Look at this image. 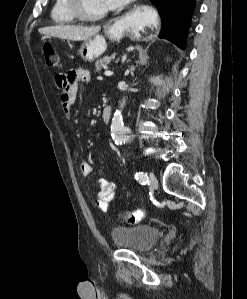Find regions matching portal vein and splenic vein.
<instances>
[{"mask_svg": "<svg viewBox=\"0 0 247 299\" xmlns=\"http://www.w3.org/2000/svg\"><path fill=\"white\" fill-rule=\"evenodd\" d=\"M104 74H105L106 76H111V75H113V72H111V71H109V70H106V71L104 72Z\"/></svg>", "mask_w": 247, "mask_h": 299, "instance_id": "1", "label": "portal vein and splenic vein"}]
</instances>
